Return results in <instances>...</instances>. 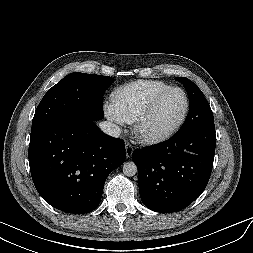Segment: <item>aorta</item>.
Wrapping results in <instances>:
<instances>
[{"label":"aorta","instance_id":"1","mask_svg":"<svg viewBox=\"0 0 253 253\" xmlns=\"http://www.w3.org/2000/svg\"><path fill=\"white\" fill-rule=\"evenodd\" d=\"M123 173L125 176L131 177L137 173V166L134 162H126L123 164Z\"/></svg>","mask_w":253,"mask_h":253}]
</instances>
